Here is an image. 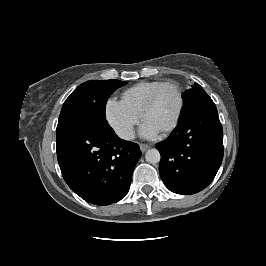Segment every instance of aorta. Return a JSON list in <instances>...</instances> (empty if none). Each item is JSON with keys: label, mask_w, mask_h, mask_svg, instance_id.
<instances>
[{"label": "aorta", "mask_w": 266, "mask_h": 266, "mask_svg": "<svg viewBox=\"0 0 266 266\" xmlns=\"http://www.w3.org/2000/svg\"><path fill=\"white\" fill-rule=\"evenodd\" d=\"M160 158V153L157 149H149L145 154L146 161L151 164L158 163Z\"/></svg>", "instance_id": "762f6f07"}]
</instances>
